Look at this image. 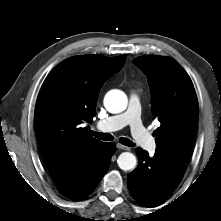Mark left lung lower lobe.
Instances as JSON below:
<instances>
[{
  "instance_id": "left-lung-lower-lobe-1",
  "label": "left lung lower lobe",
  "mask_w": 221,
  "mask_h": 221,
  "mask_svg": "<svg viewBox=\"0 0 221 221\" xmlns=\"http://www.w3.org/2000/svg\"><path fill=\"white\" fill-rule=\"evenodd\" d=\"M138 167L128 175V188L132 197L144 206H157L162 203L180 183L185 162L175 157L137 148Z\"/></svg>"
}]
</instances>
